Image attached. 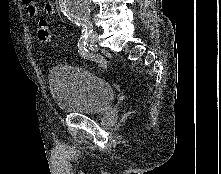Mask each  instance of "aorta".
<instances>
[{
    "instance_id": "obj_1",
    "label": "aorta",
    "mask_w": 221,
    "mask_h": 174,
    "mask_svg": "<svg viewBox=\"0 0 221 174\" xmlns=\"http://www.w3.org/2000/svg\"><path fill=\"white\" fill-rule=\"evenodd\" d=\"M62 12L69 18L82 22L89 18L90 0H59Z\"/></svg>"
}]
</instances>
